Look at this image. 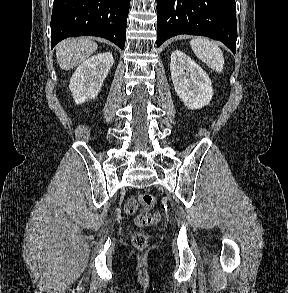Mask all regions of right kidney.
<instances>
[{
  "mask_svg": "<svg viewBox=\"0 0 288 293\" xmlns=\"http://www.w3.org/2000/svg\"><path fill=\"white\" fill-rule=\"evenodd\" d=\"M113 63L112 53L104 52L88 58L78 66L69 84L76 104L98 96Z\"/></svg>",
  "mask_w": 288,
  "mask_h": 293,
  "instance_id": "obj_1",
  "label": "right kidney"
}]
</instances>
